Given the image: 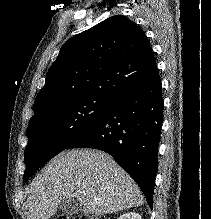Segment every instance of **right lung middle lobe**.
Wrapping results in <instances>:
<instances>
[{
  "label": "right lung middle lobe",
  "mask_w": 211,
  "mask_h": 219,
  "mask_svg": "<svg viewBox=\"0 0 211 219\" xmlns=\"http://www.w3.org/2000/svg\"><path fill=\"white\" fill-rule=\"evenodd\" d=\"M111 103L112 101L99 97L79 98L30 120L24 181L94 125Z\"/></svg>",
  "instance_id": "1"
}]
</instances>
